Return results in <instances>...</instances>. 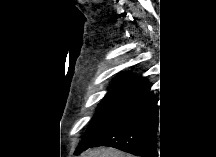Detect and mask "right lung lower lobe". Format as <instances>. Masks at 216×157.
Wrapping results in <instances>:
<instances>
[{
  "label": "right lung lower lobe",
  "mask_w": 216,
  "mask_h": 157,
  "mask_svg": "<svg viewBox=\"0 0 216 157\" xmlns=\"http://www.w3.org/2000/svg\"><path fill=\"white\" fill-rule=\"evenodd\" d=\"M157 103L150 86L136 92L117 125L90 147L109 146L140 157L162 156V117ZM87 148L76 150V154Z\"/></svg>",
  "instance_id": "98d812e1"
}]
</instances>
